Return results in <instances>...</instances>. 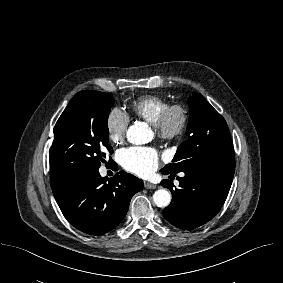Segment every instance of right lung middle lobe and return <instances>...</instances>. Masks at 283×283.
I'll use <instances>...</instances> for the list:
<instances>
[{"label": "right lung middle lobe", "instance_id": "dd1d6c3e", "mask_svg": "<svg viewBox=\"0 0 283 283\" xmlns=\"http://www.w3.org/2000/svg\"><path fill=\"white\" fill-rule=\"evenodd\" d=\"M115 100L99 91H80L70 101L54 127L50 154L51 188L99 169L108 145V115Z\"/></svg>", "mask_w": 283, "mask_h": 283}]
</instances>
